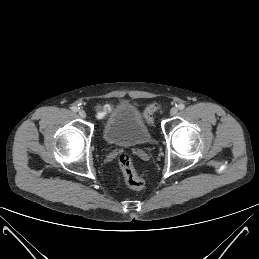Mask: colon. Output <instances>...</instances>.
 <instances>
[{"mask_svg":"<svg viewBox=\"0 0 259 259\" xmlns=\"http://www.w3.org/2000/svg\"><path fill=\"white\" fill-rule=\"evenodd\" d=\"M160 109L158 103L149 104L144 110V116L149 124L153 123V117ZM118 164L123 174L125 183L135 190H141L145 186L144 179L135 169L132 157L127 153H122L118 157Z\"/></svg>","mask_w":259,"mask_h":259,"instance_id":"1","label":"colon"}]
</instances>
